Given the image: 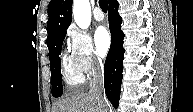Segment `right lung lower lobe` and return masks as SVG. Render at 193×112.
Listing matches in <instances>:
<instances>
[{
  "label": "right lung lower lobe",
  "mask_w": 193,
  "mask_h": 112,
  "mask_svg": "<svg viewBox=\"0 0 193 112\" xmlns=\"http://www.w3.org/2000/svg\"><path fill=\"white\" fill-rule=\"evenodd\" d=\"M117 0L109 4L108 19L109 28L112 36V43L104 65L105 93L111 104L117 108L120 98V87L123 71V38L121 31L122 18L118 14Z\"/></svg>",
  "instance_id": "98d812e1"
}]
</instances>
